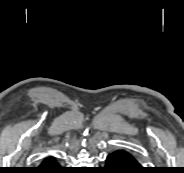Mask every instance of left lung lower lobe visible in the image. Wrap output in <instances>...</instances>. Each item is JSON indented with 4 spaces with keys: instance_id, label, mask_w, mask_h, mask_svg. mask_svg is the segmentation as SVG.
Listing matches in <instances>:
<instances>
[{
    "instance_id": "1",
    "label": "left lung lower lobe",
    "mask_w": 184,
    "mask_h": 173,
    "mask_svg": "<svg viewBox=\"0 0 184 173\" xmlns=\"http://www.w3.org/2000/svg\"><path fill=\"white\" fill-rule=\"evenodd\" d=\"M105 169L108 173H146L138 160L124 149H118L107 156Z\"/></svg>"
}]
</instances>
